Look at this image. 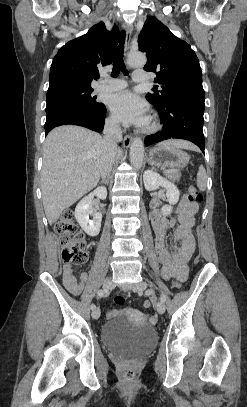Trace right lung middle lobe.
<instances>
[{
	"instance_id": "obj_1",
	"label": "right lung middle lobe",
	"mask_w": 247,
	"mask_h": 407,
	"mask_svg": "<svg viewBox=\"0 0 247 407\" xmlns=\"http://www.w3.org/2000/svg\"><path fill=\"white\" fill-rule=\"evenodd\" d=\"M92 87H61L47 91L46 113L63 108L96 110L102 104L92 97Z\"/></svg>"
}]
</instances>
